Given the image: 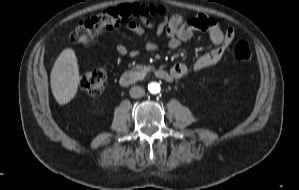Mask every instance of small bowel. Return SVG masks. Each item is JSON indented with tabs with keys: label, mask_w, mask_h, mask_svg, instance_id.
<instances>
[{
	"label": "small bowel",
	"mask_w": 299,
	"mask_h": 190,
	"mask_svg": "<svg viewBox=\"0 0 299 190\" xmlns=\"http://www.w3.org/2000/svg\"><path fill=\"white\" fill-rule=\"evenodd\" d=\"M204 22H205L206 29L212 30L213 43L220 47L219 53L214 55L211 58V62L216 63L220 60L225 50L226 43L224 41L222 33L215 28V23L211 18H205ZM129 23L131 24L132 28L136 27V23L134 21L130 20ZM142 23L143 25L148 27L153 26V22L147 18L143 19ZM194 23L195 22L193 21L191 22L171 21L167 24H162L160 28L162 29L165 27L171 35H177L178 33H182L183 35L186 36L190 33ZM171 44L173 46H177L179 44V39L177 37L173 38ZM121 53L125 54L124 51H122ZM187 71H188L187 66L184 64H180L175 68L174 73L177 76H183L187 73Z\"/></svg>",
	"instance_id": "1"
}]
</instances>
